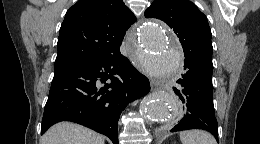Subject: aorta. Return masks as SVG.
I'll list each match as a JSON object with an SVG mask.
<instances>
[{"instance_id": "1", "label": "aorta", "mask_w": 260, "mask_h": 144, "mask_svg": "<svg viewBox=\"0 0 260 144\" xmlns=\"http://www.w3.org/2000/svg\"><path fill=\"white\" fill-rule=\"evenodd\" d=\"M138 40L147 57L139 59L142 69L151 77L167 79L181 65V54L177 39L163 24L147 20L140 28ZM140 114L146 123L163 122L171 128L180 119L176 99L166 92H154L140 103Z\"/></svg>"}]
</instances>
